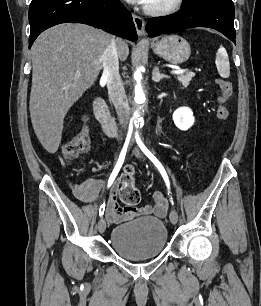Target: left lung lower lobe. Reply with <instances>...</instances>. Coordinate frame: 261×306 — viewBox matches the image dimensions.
I'll use <instances>...</instances> for the list:
<instances>
[{"label": "left lung lower lobe", "mask_w": 261, "mask_h": 306, "mask_svg": "<svg viewBox=\"0 0 261 306\" xmlns=\"http://www.w3.org/2000/svg\"><path fill=\"white\" fill-rule=\"evenodd\" d=\"M234 5L232 0H199L173 15L152 18L147 24L149 36H157L193 27H209L235 43Z\"/></svg>", "instance_id": "1"}]
</instances>
